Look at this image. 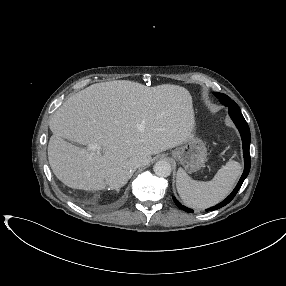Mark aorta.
Instances as JSON below:
<instances>
[{
	"label": "aorta",
	"instance_id": "762f6f07",
	"mask_svg": "<svg viewBox=\"0 0 286 286\" xmlns=\"http://www.w3.org/2000/svg\"><path fill=\"white\" fill-rule=\"evenodd\" d=\"M154 173L159 177H168L171 174V165L169 162L160 160L154 164Z\"/></svg>",
	"mask_w": 286,
	"mask_h": 286
}]
</instances>
